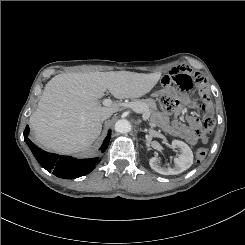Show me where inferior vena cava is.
Returning <instances> with one entry per match:
<instances>
[{"mask_svg": "<svg viewBox=\"0 0 245 245\" xmlns=\"http://www.w3.org/2000/svg\"><path fill=\"white\" fill-rule=\"evenodd\" d=\"M110 116H111V114H106V115H104V116L101 118V120L104 121V120L108 119Z\"/></svg>", "mask_w": 245, "mask_h": 245, "instance_id": "obj_1", "label": "inferior vena cava"}]
</instances>
